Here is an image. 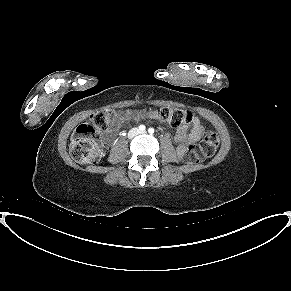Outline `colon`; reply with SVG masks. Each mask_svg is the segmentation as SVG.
Wrapping results in <instances>:
<instances>
[{"label":"colon","mask_w":291,"mask_h":291,"mask_svg":"<svg viewBox=\"0 0 291 291\" xmlns=\"http://www.w3.org/2000/svg\"><path fill=\"white\" fill-rule=\"evenodd\" d=\"M150 114L173 127H179L191 121V115L182 109H153ZM114 118L115 112L113 110H104L92 114L87 122L80 124L70 140L71 158L80 164H91L99 161L102 155L99 135L110 127ZM218 145L219 136L213 131H208L198 146L188 147L184 160L188 164L201 162L213 156Z\"/></svg>","instance_id":"obj_1"}]
</instances>
